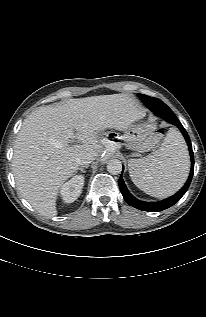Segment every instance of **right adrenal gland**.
Wrapping results in <instances>:
<instances>
[{
	"mask_svg": "<svg viewBox=\"0 0 206 317\" xmlns=\"http://www.w3.org/2000/svg\"><path fill=\"white\" fill-rule=\"evenodd\" d=\"M89 165H83L81 167H79L77 170H80L82 173H85L86 171L84 170V168H88Z\"/></svg>",
	"mask_w": 206,
	"mask_h": 317,
	"instance_id": "right-adrenal-gland-1",
	"label": "right adrenal gland"
}]
</instances>
